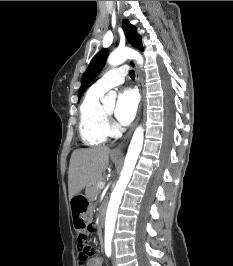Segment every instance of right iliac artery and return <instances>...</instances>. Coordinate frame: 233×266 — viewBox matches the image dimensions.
<instances>
[{
    "label": "right iliac artery",
    "instance_id": "right-iliac-artery-1",
    "mask_svg": "<svg viewBox=\"0 0 233 266\" xmlns=\"http://www.w3.org/2000/svg\"><path fill=\"white\" fill-rule=\"evenodd\" d=\"M105 252L108 257L111 256V239H105Z\"/></svg>",
    "mask_w": 233,
    "mask_h": 266
}]
</instances>
